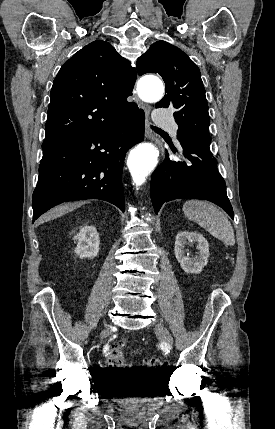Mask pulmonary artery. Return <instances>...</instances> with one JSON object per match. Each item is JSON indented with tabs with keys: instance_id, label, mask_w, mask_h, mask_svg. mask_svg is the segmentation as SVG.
Masks as SVG:
<instances>
[{
	"instance_id": "obj_1",
	"label": "pulmonary artery",
	"mask_w": 275,
	"mask_h": 429,
	"mask_svg": "<svg viewBox=\"0 0 275 429\" xmlns=\"http://www.w3.org/2000/svg\"><path fill=\"white\" fill-rule=\"evenodd\" d=\"M153 120L156 124L169 128L170 131L173 133V135L176 136L177 125L170 115L166 114L165 112H163L161 110H157L154 113Z\"/></svg>"
}]
</instances>
